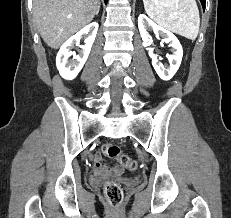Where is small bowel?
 I'll return each instance as SVG.
<instances>
[{"instance_id": "1", "label": "small bowel", "mask_w": 231, "mask_h": 218, "mask_svg": "<svg viewBox=\"0 0 231 218\" xmlns=\"http://www.w3.org/2000/svg\"><path fill=\"white\" fill-rule=\"evenodd\" d=\"M94 171L98 176H119L123 169L120 166L108 165L99 153L94 155Z\"/></svg>"}]
</instances>
